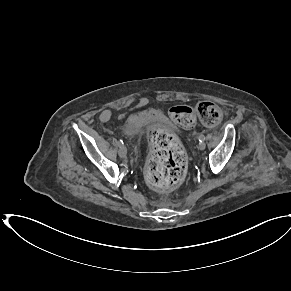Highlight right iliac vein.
I'll list each match as a JSON object with an SVG mask.
<instances>
[{
    "mask_svg": "<svg viewBox=\"0 0 291 291\" xmlns=\"http://www.w3.org/2000/svg\"><path fill=\"white\" fill-rule=\"evenodd\" d=\"M118 153H119V156H120L122 159H125L126 156H127V149H126V147L123 146V145L120 146Z\"/></svg>",
    "mask_w": 291,
    "mask_h": 291,
    "instance_id": "1",
    "label": "right iliac vein"
}]
</instances>
